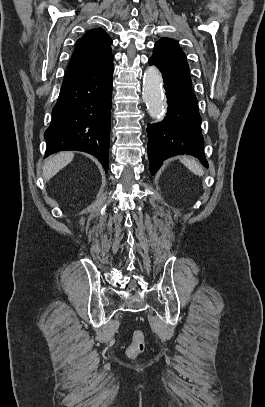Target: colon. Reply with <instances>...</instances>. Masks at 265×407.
<instances>
[{
  "label": "colon",
  "mask_w": 265,
  "mask_h": 407,
  "mask_svg": "<svg viewBox=\"0 0 265 407\" xmlns=\"http://www.w3.org/2000/svg\"><path fill=\"white\" fill-rule=\"evenodd\" d=\"M146 348V338L142 330H135L132 334V341L127 348L129 357H136L142 354Z\"/></svg>",
  "instance_id": "obj_1"
}]
</instances>
